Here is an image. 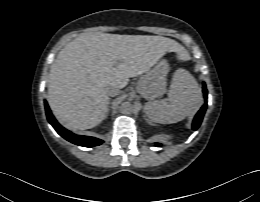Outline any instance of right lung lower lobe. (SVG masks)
Here are the masks:
<instances>
[{"label": "right lung lower lobe", "mask_w": 260, "mask_h": 202, "mask_svg": "<svg viewBox=\"0 0 260 202\" xmlns=\"http://www.w3.org/2000/svg\"><path fill=\"white\" fill-rule=\"evenodd\" d=\"M45 110H46V115L49 123L53 126V128L56 130V132L61 135L63 138L68 140L71 143H74L79 146L83 147H94L102 144L104 141L98 138L90 137V136H78L70 131L66 130L63 128L54 118L52 115L49 106L47 102L45 101Z\"/></svg>", "instance_id": "right-lung-lower-lobe-1"}]
</instances>
